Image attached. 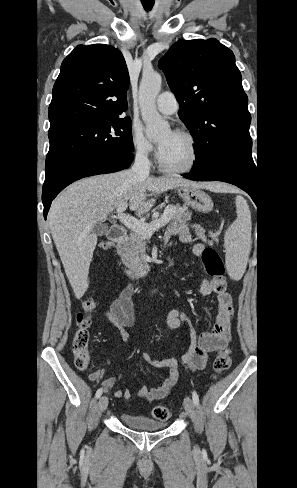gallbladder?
I'll use <instances>...</instances> for the list:
<instances>
[{"label":"gallbladder","mask_w":297,"mask_h":488,"mask_svg":"<svg viewBox=\"0 0 297 488\" xmlns=\"http://www.w3.org/2000/svg\"><path fill=\"white\" fill-rule=\"evenodd\" d=\"M108 231V225L103 224V223H96L94 224L93 227V233L96 234L97 236H103L107 233Z\"/></svg>","instance_id":"obj_1"}]
</instances>
